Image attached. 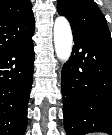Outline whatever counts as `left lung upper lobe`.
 I'll return each instance as SVG.
<instances>
[{
    "mask_svg": "<svg viewBox=\"0 0 112 135\" xmlns=\"http://www.w3.org/2000/svg\"><path fill=\"white\" fill-rule=\"evenodd\" d=\"M57 11L68 19L73 32L111 39L106 19L93 0H58Z\"/></svg>",
    "mask_w": 112,
    "mask_h": 135,
    "instance_id": "5c2ea615",
    "label": "left lung upper lobe"
}]
</instances>
